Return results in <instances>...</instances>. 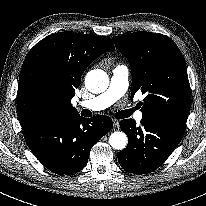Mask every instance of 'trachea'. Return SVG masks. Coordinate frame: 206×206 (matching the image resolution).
<instances>
[{"label": "trachea", "mask_w": 206, "mask_h": 206, "mask_svg": "<svg viewBox=\"0 0 206 206\" xmlns=\"http://www.w3.org/2000/svg\"><path fill=\"white\" fill-rule=\"evenodd\" d=\"M132 110H123V111H119L115 114L116 118L122 119V118H127L131 115Z\"/></svg>", "instance_id": "obj_1"}]
</instances>
